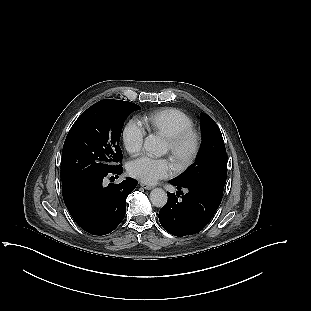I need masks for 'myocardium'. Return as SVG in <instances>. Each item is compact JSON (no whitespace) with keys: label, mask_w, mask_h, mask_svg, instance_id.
Returning a JSON list of instances; mask_svg holds the SVG:
<instances>
[{"label":"myocardium","mask_w":311,"mask_h":311,"mask_svg":"<svg viewBox=\"0 0 311 311\" xmlns=\"http://www.w3.org/2000/svg\"><path fill=\"white\" fill-rule=\"evenodd\" d=\"M186 141L189 142V147L182 153L180 152V147ZM166 142L169 146V154L174 160L176 166L185 167L196 157L199 150L200 137L198 132L191 127L180 130L174 135L166 138Z\"/></svg>","instance_id":"f54148a6"}]
</instances>
